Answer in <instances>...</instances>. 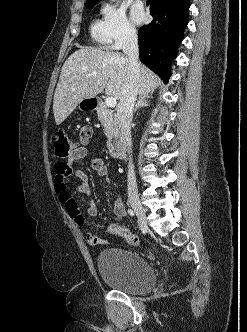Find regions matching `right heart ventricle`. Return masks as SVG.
<instances>
[{
	"instance_id": "e07e8e85",
	"label": "right heart ventricle",
	"mask_w": 247,
	"mask_h": 332,
	"mask_svg": "<svg viewBox=\"0 0 247 332\" xmlns=\"http://www.w3.org/2000/svg\"><path fill=\"white\" fill-rule=\"evenodd\" d=\"M90 34L93 41L102 48L111 46L106 33L105 23L103 19L96 18L90 24Z\"/></svg>"
}]
</instances>
